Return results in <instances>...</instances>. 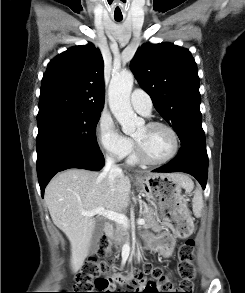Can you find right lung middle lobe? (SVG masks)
<instances>
[{
  "label": "right lung middle lobe",
  "instance_id": "1",
  "mask_svg": "<svg viewBox=\"0 0 245 293\" xmlns=\"http://www.w3.org/2000/svg\"><path fill=\"white\" fill-rule=\"evenodd\" d=\"M101 111L49 108L37 115V168L56 153L85 149L100 151L96 125Z\"/></svg>",
  "mask_w": 245,
  "mask_h": 293
}]
</instances>
